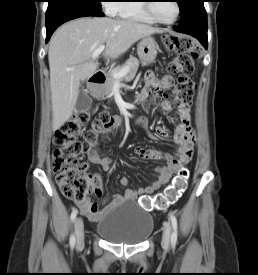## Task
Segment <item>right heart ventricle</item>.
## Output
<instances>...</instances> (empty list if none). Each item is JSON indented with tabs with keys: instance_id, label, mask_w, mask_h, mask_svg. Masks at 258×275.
Listing matches in <instances>:
<instances>
[{
	"instance_id": "obj_1",
	"label": "right heart ventricle",
	"mask_w": 258,
	"mask_h": 275,
	"mask_svg": "<svg viewBox=\"0 0 258 275\" xmlns=\"http://www.w3.org/2000/svg\"><path fill=\"white\" fill-rule=\"evenodd\" d=\"M144 0H125L117 3L115 15L122 18L131 19L143 23H156L146 12L144 8Z\"/></svg>"
}]
</instances>
